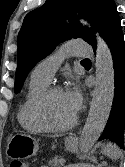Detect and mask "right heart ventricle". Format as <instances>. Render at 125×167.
I'll return each instance as SVG.
<instances>
[{"instance_id": "1", "label": "right heart ventricle", "mask_w": 125, "mask_h": 167, "mask_svg": "<svg viewBox=\"0 0 125 167\" xmlns=\"http://www.w3.org/2000/svg\"><path fill=\"white\" fill-rule=\"evenodd\" d=\"M48 88V84L31 78L28 91L19 106L17 120L22 128L33 134H41L45 130L36 122L34 107L40 95Z\"/></svg>"}]
</instances>
